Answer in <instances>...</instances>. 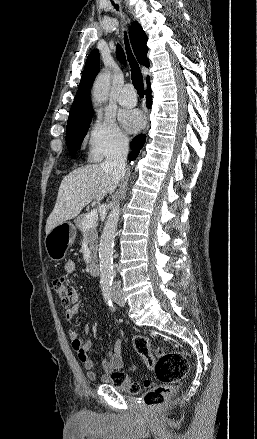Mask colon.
Listing matches in <instances>:
<instances>
[{"instance_id": "obj_1", "label": "colon", "mask_w": 257, "mask_h": 439, "mask_svg": "<svg viewBox=\"0 0 257 439\" xmlns=\"http://www.w3.org/2000/svg\"><path fill=\"white\" fill-rule=\"evenodd\" d=\"M53 287L62 304L70 307L74 296L73 288L63 277L55 278ZM133 342L138 354L147 366L155 372L161 382V384L153 386L146 392L144 403L148 407H159L171 399L175 392V385L187 374L189 369L188 360L179 351L154 350L149 338L145 335H136ZM112 382L115 388H119L124 392L136 393L139 390V385L121 372L112 378Z\"/></svg>"}]
</instances>
